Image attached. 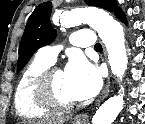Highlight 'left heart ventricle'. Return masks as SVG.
<instances>
[{
  "label": "left heart ventricle",
  "instance_id": "obj_1",
  "mask_svg": "<svg viewBox=\"0 0 145 124\" xmlns=\"http://www.w3.org/2000/svg\"><path fill=\"white\" fill-rule=\"evenodd\" d=\"M53 86L57 97L65 102L75 101L76 99L72 96L69 91L68 84L65 77V71L57 70L53 75Z\"/></svg>",
  "mask_w": 145,
  "mask_h": 124
}]
</instances>
